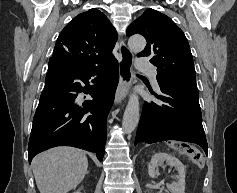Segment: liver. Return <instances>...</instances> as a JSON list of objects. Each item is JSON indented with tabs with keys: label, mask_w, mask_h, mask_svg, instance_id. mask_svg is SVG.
Returning a JSON list of instances; mask_svg holds the SVG:
<instances>
[{
	"label": "liver",
	"mask_w": 237,
	"mask_h": 193,
	"mask_svg": "<svg viewBox=\"0 0 237 193\" xmlns=\"http://www.w3.org/2000/svg\"><path fill=\"white\" fill-rule=\"evenodd\" d=\"M88 168L85 152L56 147L35 156L32 170L40 193H67L84 179Z\"/></svg>",
	"instance_id": "6515ba94"
}]
</instances>
